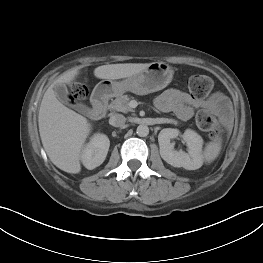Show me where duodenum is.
<instances>
[{"instance_id": "410a0bca", "label": "duodenum", "mask_w": 263, "mask_h": 263, "mask_svg": "<svg viewBox=\"0 0 263 263\" xmlns=\"http://www.w3.org/2000/svg\"><path fill=\"white\" fill-rule=\"evenodd\" d=\"M109 99V90L105 87L98 88L92 96L91 117L100 119L106 115Z\"/></svg>"}]
</instances>
